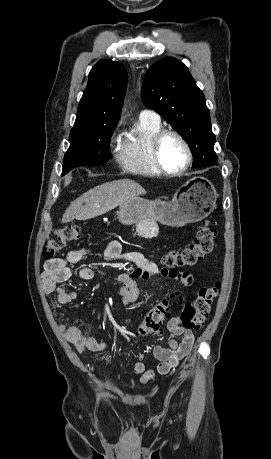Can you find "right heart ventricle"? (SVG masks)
Here are the masks:
<instances>
[{
  "label": "right heart ventricle",
  "instance_id": "obj_1",
  "mask_svg": "<svg viewBox=\"0 0 271 459\" xmlns=\"http://www.w3.org/2000/svg\"><path fill=\"white\" fill-rule=\"evenodd\" d=\"M161 129L160 119L154 121L140 118L135 134L125 143L119 155L125 171L145 176L162 175L151 155L152 139Z\"/></svg>",
  "mask_w": 271,
  "mask_h": 459
}]
</instances>
